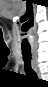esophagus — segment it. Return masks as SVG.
<instances>
[{"mask_svg":"<svg viewBox=\"0 0 48 87\" xmlns=\"http://www.w3.org/2000/svg\"><path fill=\"white\" fill-rule=\"evenodd\" d=\"M32 60H33L34 69L37 75L40 76V71H39L38 62H37V55L35 52L32 54Z\"/></svg>","mask_w":48,"mask_h":87,"instance_id":"1","label":"esophagus"}]
</instances>
